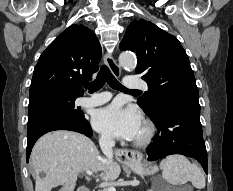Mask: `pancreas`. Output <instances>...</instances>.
<instances>
[{
  "instance_id": "1",
  "label": "pancreas",
  "mask_w": 233,
  "mask_h": 191,
  "mask_svg": "<svg viewBox=\"0 0 233 191\" xmlns=\"http://www.w3.org/2000/svg\"><path fill=\"white\" fill-rule=\"evenodd\" d=\"M99 191H108V188H104V189L99 190Z\"/></svg>"
}]
</instances>
